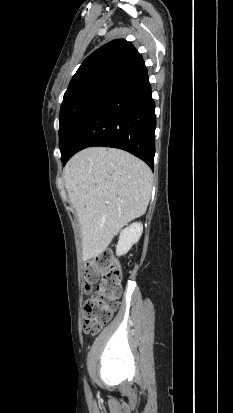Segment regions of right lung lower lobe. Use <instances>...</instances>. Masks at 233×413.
Returning a JSON list of instances; mask_svg holds the SVG:
<instances>
[{
    "mask_svg": "<svg viewBox=\"0 0 233 413\" xmlns=\"http://www.w3.org/2000/svg\"><path fill=\"white\" fill-rule=\"evenodd\" d=\"M155 103L142 60L119 76L91 112L77 134L63 165L78 151L91 146L123 149L151 169L155 154Z\"/></svg>",
    "mask_w": 233,
    "mask_h": 413,
    "instance_id": "1",
    "label": "right lung lower lobe"
}]
</instances>
